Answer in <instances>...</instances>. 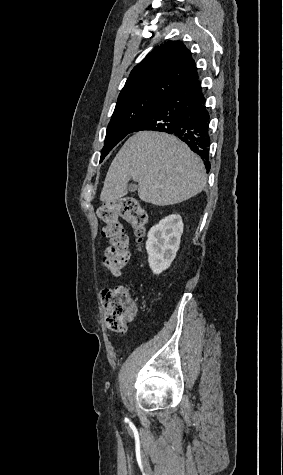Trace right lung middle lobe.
Here are the masks:
<instances>
[{"mask_svg": "<svg viewBox=\"0 0 283 475\" xmlns=\"http://www.w3.org/2000/svg\"><path fill=\"white\" fill-rule=\"evenodd\" d=\"M173 90L159 89L119 101L107 128L100 162L131 130Z\"/></svg>", "mask_w": 283, "mask_h": 475, "instance_id": "obj_1", "label": "right lung middle lobe"}]
</instances>
